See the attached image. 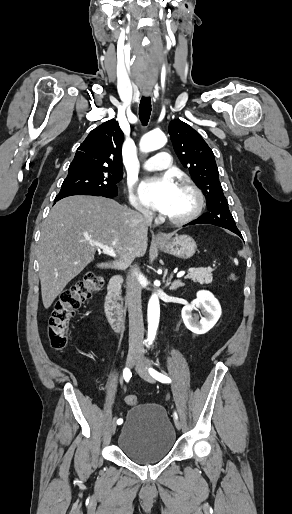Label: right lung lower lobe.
<instances>
[{"label": "right lung lower lobe", "instance_id": "98d812e1", "mask_svg": "<svg viewBox=\"0 0 292 514\" xmlns=\"http://www.w3.org/2000/svg\"><path fill=\"white\" fill-rule=\"evenodd\" d=\"M77 195H94V196H104V197H108V198H113V197H115V196H111V195H103V194H77ZM68 196H73V195H65V196H61V197L55 198L54 203H56V201H59V200H60V199H62V198L68 197ZM116 196H117V195H116Z\"/></svg>", "mask_w": 292, "mask_h": 514}]
</instances>
